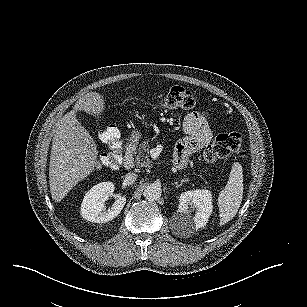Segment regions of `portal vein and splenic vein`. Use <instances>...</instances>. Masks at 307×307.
<instances>
[{"mask_svg":"<svg viewBox=\"0 0 307 307\" xmlns=\"http://www.w3.org/2000/svg\"><path fill=\"white\" fill-rule=\"evenodd\" d=\"M150 155L152 158H156L160 155V151L157 148H153L150 150Z\"/></svg>","mask_w":307,"mask_h":307,"instance_id":"obj_1","label":"portal vein and splenic vein"}]
</instances>
